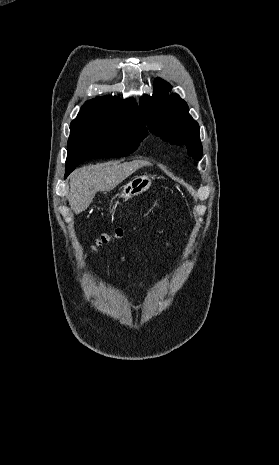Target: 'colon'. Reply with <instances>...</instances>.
<instances>
[{
	"label": "colon",
	"instance_id": "1",
	"mask_svg": "<svg viewBox=\"0 0 279 465\" xmlns=\"http://www.w3.org/2000/svg\"><path fill=\"white\" fill-rule=\"evenodd\" d=\"M125 233V230L122 228H117L111 233H104L102 234L95 242V245L93 246L94 250H97L98 248H101L107 244H109L112 240L114 239H119L123 237Z\"/></svg>",
	"mask_w": 279,
	"mask_h": 465
}]
</instances>
